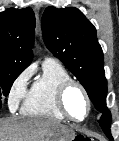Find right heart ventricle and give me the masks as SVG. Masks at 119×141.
Here are the masks:
<instances>
[{"label":"right heart ventricle","mask_w":119,"mask_h":141,"mask_svg":"<svg viewBox=\"0 0 119 141\" xmlns=\"http://www.w3.org/2000/svg\"><path fill=\"white\" fill-rule=\"evenodd\" d=\"M70 79L69 72L59 62L52 59L44 61L41 74L32 83L24 98L22 113L27 116L64 120L57 108L56 92L61 83Z\"/></svg>","instance_id":"right-heart-ventricle-1"}]
</instances>
